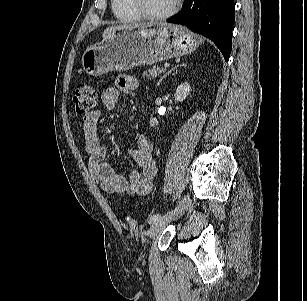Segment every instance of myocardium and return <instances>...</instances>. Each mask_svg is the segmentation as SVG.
Segmentation results:
<instances>
[{
  "instance_id": "f54148a6",
  "label": "myocardium",
  "mask_w": 307,
  "mask_h": 301,
  "mask_svg": "<svg viewBox=\"0 0 307 301\" xmlns=\"http://www.w3.org/2000/svg\"><path fill=\"white\" fill-rule=\"evenodd\" d=\"M181 0H173L172 6L166 12L160 14H153L148 12L144 6L142 0H130L131 6L134 11L143 19L150 20V21H161L166 20L173 16L180 7Z\"/></svg>"
}]
</instances>
